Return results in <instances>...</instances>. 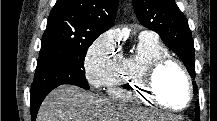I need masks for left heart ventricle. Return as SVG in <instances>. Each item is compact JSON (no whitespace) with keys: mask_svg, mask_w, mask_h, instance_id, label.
Returning <instances> with one entry per match:
<instances>
[{"mask_svg":"<svg viewBox=\"0 0 217 121\" xmlns=\"http://www.w3.org/2000/svg\"><path fill=\"white\" fill-rule=\"evenodd\" d=\"M156 89L160 97L173 107H183L187 101L186 81L182 73L172 65L165 67L158 73Z\"/></svg>","mask_w":217,"mask_h":121,"instance_id":"obj_1","label":"left heart ventricle"}]
</instances>
